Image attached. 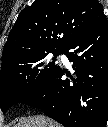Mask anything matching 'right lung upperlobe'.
Instances as JSON below:
<instances>
[{"label":"right lung upper lobe","mask_w":108,"mask_h":127,"mask_svg":"<svg viewBox=\"0 0 108 127\" xmlns=\"http://www.w3.org/2000/svg\"><path fill=\"white\" fill-rule=\"evenodd\" d=\"M104 18L98 0H35L21 11L10 31L2 65L23 55L64 50Z\"/></svg>","instance_id":"obj_1"}]
</instances>
